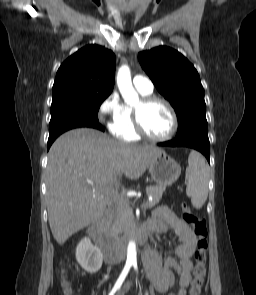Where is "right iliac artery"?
<instances>
[{"label":"right iliac artery","mask_w":256,"mask_h":295,"mask_svg":"<svg viewBox=\"0 0 256 295\" xmlns=\"http://www.w3.org/2000/svg\"><path fill=\"white\" fill-rule=\"evenodd\" d=\"M131 266H132V263H130V262H127L125 264L119 278L117 279L114 287L112 288V290L110 291V293L108 295H114L116 293V291L120 289V287H121L122 283L124 282V280H125L128 272H129Z\"/></svg>","instance_id":"82829eb1"}]
</instances>
